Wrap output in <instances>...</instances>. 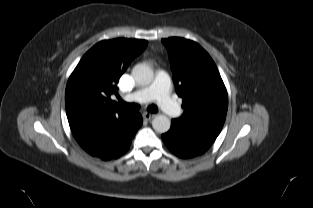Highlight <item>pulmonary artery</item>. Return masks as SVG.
<instances>
[{
    "instance_id": "pulmonary-artery-1",
    "label": "pulmonary artery",
    "mask_w": 313,
    "mask_h": 208,
    "mask_svg": "<svg viewBox=\"0 0 313 208\" xmlns=\"http://www.w3.org/2000/svg\"><path fill=\"white\" fill-rule=\"evenodd\" d=\"M126 99L136 103H147L156 99L169 116L177 117L181 113L180 106L172 98L170 78L165 72H158L152 85L127 95Z\"/></svg>"
}]
</instances>
